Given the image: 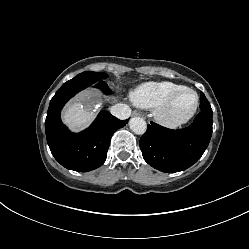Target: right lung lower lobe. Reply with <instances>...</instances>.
Returning <instances> with one entry per match:
<instances>
[{"label": "right lung lower lobe", "mask_w": 249, "mask_h": 249, "mask_svg": "<svg viewBox=\"0 0 249 249\" xmlns=\"http://www.w3.org/2000/svg\"><path fill=\"white\" fill-rule=\"evenodd\" d=\"M90 85L87 80L75 79L64 83L51 99L45 121L51 153L62 166L78 172L91 171L101 166L106 160L113 133L128 122L101 111L88 129L71 133L61 121V109L71 97ZM94 87L111 94L104 81L94 83Z\"/></svg>", "instance_id": "98d812e1"}]
</instances>
